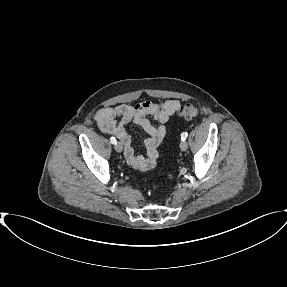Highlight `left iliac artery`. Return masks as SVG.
<instances>
[{
  "mask_svg": "<svg viewBox=\"0 0 287 287\" xmlns=\"http://www.w3.org/2000/svg\"><path fill=\"white\" fill-rule=\"evenodd\" d=\"M187 133L186 132H183L182 134H181V140L182 141H185L186 140V138H187Z\"/></svg>",
  "mask_w": 287,
  "mask_h": 287,
  "instance_id": "obj_1",
  "label": "left iliac artery"
}]
</instances>
